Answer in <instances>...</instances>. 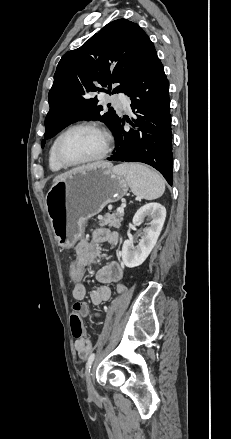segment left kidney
Wrapping results in <instances>:
<instances>
[{"mask_svg":"<svg viewBox=\"0 0 231 439\" xmlns=\"http://www.w3.org/2000/svg\"><path fill=\"white\" fill-rule=\"evenodd\" d=\"M150 219L144 229V237L137 246L131 240H125L122 247V261L128 268L141 265L151 253L163 228L166 209L159 203L152 202L142 206L133 217V224H141L144 218Z\"/></svg>","mask_w":231,"mask_h":439,"instance_id":"1","label":"left kidney"}]
</instances>
